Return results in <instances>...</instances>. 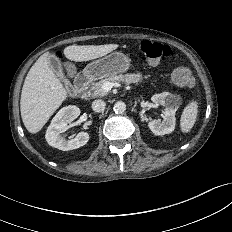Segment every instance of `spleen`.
Listing matches in <instances>:
<instances>
[{
  "label": "spleen",
  "mask_w": 232,
  "mask_h": 232,
  "mask_svg": "<svg viewBox=\"0 0 232 232\" xmlns=\"http://www.w3.org/2000/svg\"><path fill=\"white\" fill-rule=\"evenodd\" d=\"M198 105L196 101L190 102V104L184 109L181 117V130L187 133L193 127L198 113Z\"/></svg>",
  "instance_id": "3e777b00"
}]
</instances>
